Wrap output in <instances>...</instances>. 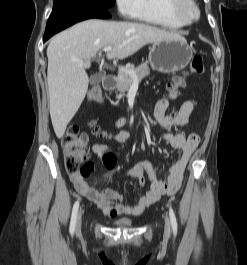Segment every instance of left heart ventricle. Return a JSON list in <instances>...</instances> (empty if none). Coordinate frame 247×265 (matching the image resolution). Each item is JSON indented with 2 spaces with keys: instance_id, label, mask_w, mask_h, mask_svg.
<instances>
[{
  "instance_id": "obj_1",
  "label": "left heart ventricle",
  "mask_w": 247,
  "mask_h": 265,
  "mask_svg": "<svg viewBox=\"0 0 247 265\" xmlns=\"http://www.w3.org/2000/svg\"><path fill=\"white\" fill-rule=\"evenodd\" d=\"M189 12H190V14H192V13H193V11H192V10H190Z\"/></svg>"
}]
</instances>
